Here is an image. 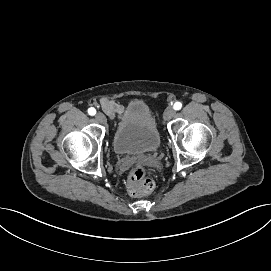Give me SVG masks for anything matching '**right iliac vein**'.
<instances>
[{
	"label": "right iliac vein",
	"instance_id": "1",
	"mask_svg": "<svg viewBox=\"0 0 271 271\" xmlns=\"http://www.w3.org/2000/svg\"><path fill=\"white\" fill-rule=\"evenodd\" d=\"M94 118L97 122L102 124H106L107 122L105 115L102 113H97Z\"/></svg>",
	"mask_w": 271,
	"mask_h": 271
}]
</instances>
